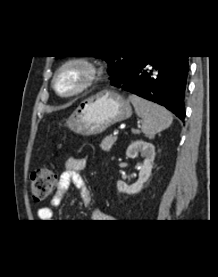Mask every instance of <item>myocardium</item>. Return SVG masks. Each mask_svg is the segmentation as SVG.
Wrapping results in <instances>:
<instances>
[{
	"label": "myocardium",
	"instance_id": "f54148a6",
	"mask_svg": "<svg viewBox=\"0 0 218 277\" xmlns=\"http://www.w3.org/2000/svg\"><path fill=\"white\" fill-rule=\"evenodd\" d=\"M76 69L80 71L81 77L77 86L70 91H61L58 88V80L59 78L68 70ZM98 68L97 66L90 61L88 58L77 57L70 58L63 63H61L55 70L53 79H52V87L54 91L61 97L70 98L77 96L91 87L98 79Z\"/></svg>",
	"mask_w": 218,
	"mask_h": 277
}]
</instances>
